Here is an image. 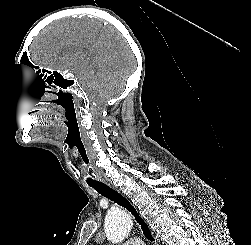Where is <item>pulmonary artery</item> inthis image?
Returning a JSON list of instances; mask_svg holds the SVG:
<instances>
[{
	"label": "pulmonary artery",
	"instance_id": "e3ab8cb5",
	"mask_svg": "<svg viewBox=\"0 0 251 245\" xmlns=\"http://www.w3.org/2000/svg\"><path fill=\"white\" fill-rule=\"evenodd\" d=\"M125 245H144V243L140 238H131Z\"/></svg>",
	"mask_w": 251,
	"mask_h": 245
}]
</instances>
